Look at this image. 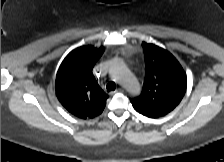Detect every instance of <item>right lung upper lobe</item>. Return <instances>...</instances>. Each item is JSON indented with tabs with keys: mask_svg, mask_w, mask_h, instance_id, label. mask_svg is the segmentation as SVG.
<instances>
[{
	"mask_svg": "<svg viewBox=\"0 0 224 162\" xmlns=\"http://www.w3.org/2000/svg\"><path fill=\"white\" fill-rule=\"evenodd\" d=\"M104 47L82 46L71 51L56 76V95L73 115L86 119L102 113L108 95L100 88L92 69Z\"/></svg>",
	"mask_w": 224,
	"mask_h": 162,
	"instance_id": "1",
	"label": "right lung upper lobe"
}]
</instances>
